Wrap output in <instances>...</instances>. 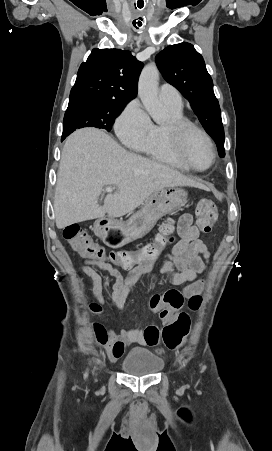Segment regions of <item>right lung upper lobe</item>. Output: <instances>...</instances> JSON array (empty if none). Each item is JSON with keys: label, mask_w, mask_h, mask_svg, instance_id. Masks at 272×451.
Instances as JSON below:
<instances>
[{"label": "right lung upper lobe", "mask_w": 272, "mask_h": 451, "mask_svg": "<svg viewBox=\"0 0 272 451\" xmlns=\"http://www.w3.org/2000/svg\"><path fill=\"white\" fill-rule=\"evenodd\" d=\"M143 63L128 50H92L82 63L70 92L71 102L100 100L128 103L137 95Z\"/></svg>", "instance_id": "1"}]
</instances>
